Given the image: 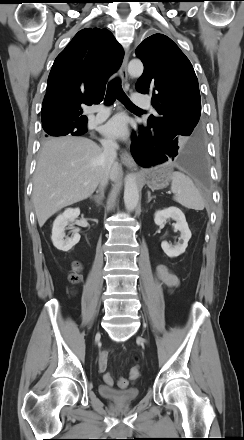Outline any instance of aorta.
Wrapping results in <instances>:
<instances>
[{
    "mask_svg": "<svg viewBox=\"0 0 244 440\" xmlns=\"http://www.w3.org/2000/svg\"><path fill=\"white\" fill-rule=\"evenodd\" d=\"M144 67L140 60H131L128 64V73L132 77H140L143 73ZM139 201V190L134 174H128L125 178L124 187V203L129 211L136 208Z\"/></svg>",
    "mask_w": 244,
    "mask_h": 440,
    "instance_id": "aorta-1",
    "label": "aorta"
}]
</instances>
